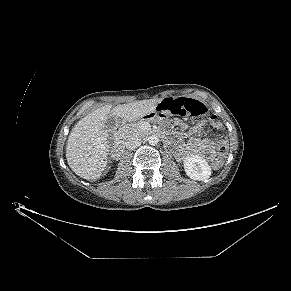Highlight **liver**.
I'll use <instances>...</instances> for the list:
<instances>
[{"label":"liver","instance_id":"6515ba94","mask_svg":"<svg viewBox=\"0 0 291 291\" xmlns=\"http://www.w3.org/2000/svg\"><path fill=\"white\" fill-rule=\"evenodd\" d=\"M162 98L102 106L82 118L71 130L66 145V159L72 171L86 180L98 179L107 165L110 143L104 129L109 114L124 120H139L154 111Z\"/></svg>","mask_w":291,"mask_h":291}]
</instances>
